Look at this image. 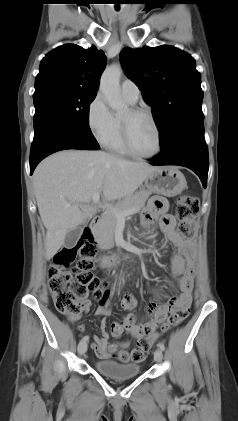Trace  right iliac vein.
Returning <instances> with one entry per match:
<instances>
[{"label":"right iliac vein","mask_w":238,"mask_h":421,"mask_svg":"<svg viewBox=\"0 0 238 421\" xmlns=\"http://www.w3.org/2000/svg\"><path fill=\"white\" fill-rule=\"evenodd\" d=\"M77 350L80 355L85 354V352L87 351V341L79 342Z\"/></svg>","instance_id":"obj_1"}]
</instances>
